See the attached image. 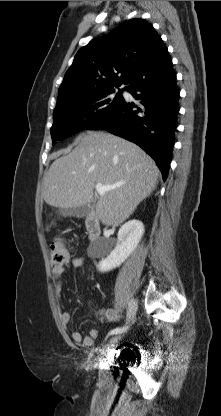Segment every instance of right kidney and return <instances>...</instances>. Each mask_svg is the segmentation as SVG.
Wrapping results in <instances>:
<instances>
[{"label": "right kidney", "mask_w": 221, "mask_h": 416, "mask_svg": "<svg viewBox=\"0 0 221 416\" xmlns=\"http://www.w3.org/2000/svg\"><path fill=\"white\" fill-rule=\"evenodd\" d=\"M144 234V225L133 219L126 222L118 231V243L110 254L98 264L101 272H107L119 267L138 246Z\"/></svg>", "instance_id": "obj_1"}]
</instances>
